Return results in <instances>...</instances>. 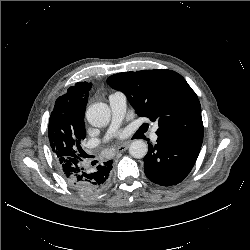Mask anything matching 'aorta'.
I'll list each match as a JSON object with an SVG mask.
<instances>
[{"mask_svg": "<svg viewBox=\"0 0 250 250\" xmlns=\"http://www.w3.org/2000/svg\"><path fill=\"white\" fill-rule=\"evenodd\" d=\"M87 121L95 127H103L110 120V109L105 103H95L86 111ZM148 152V146L143 140H135L129 146V153L134 158H143Z\"/></svg>", "mask_w": 250, "mask_h": 250, "instance_id": "762f6f07", "label": "aorta"}]
</instances>
